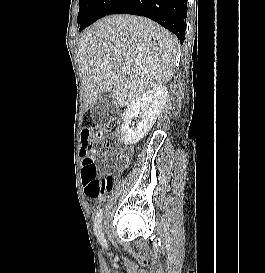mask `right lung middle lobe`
I'll list each match as a JSON object with an SVG mask.
<instances>
[{
    "mask_svg": "<svg viewBox=\"0 0 265 273\" xmlns=\"http://www.w3.org/2000/svg\"><path fill=\"white\" fill-rule=\"evenodd\" d=\"M116 0H80V9L78 13L79 31L106 16L109 9Z\"/></svg>",
    "mask_w": 265,
    "mask_h": 273,
    "instance_id": "dd1d6c3e",
    "label": "right lung middle lobe"
}]
</instances>
